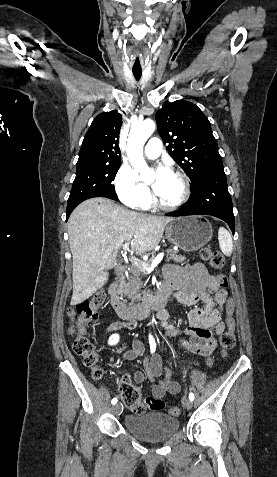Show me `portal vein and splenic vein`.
Returning a JSON list of instances; mask_svg holds the SVG:
<instances>
[{
    "label": "portal vein and splenic vein",
    "mask_w": 277,
    "mask_h": 477,
    "mask_svg": "<svg viewBox=\"0 0 277 477\" xmlns=\"http://www.w3.org/2000/svg\"><path fill=\"white\" fill-rule=\"evenodd\" d=\"M129 248V243L126 242L123 244V250L126 251ZM164 252H160L151 263L142 261L136 257L131 256L129 260L136 267H141L146 272H151L163 259Z\"/></svg>",
    "instance_id": "portal-vein-and-splenic-vein-1"
}]
</instances>
